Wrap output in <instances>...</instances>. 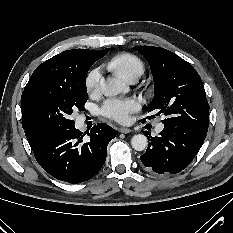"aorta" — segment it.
<instances>
[{"instance_id": "aorta-1", "label": "aorta", "mask_w": 233, "mask_h": 233, "mask_svg": "<svg viewBox=\"0 0 233 233\" xmlns=\"http://www.w3.org/2000/svg\"><path fill=\"white\" fill-rule=\"evenodd\" d=\"M101 91L105 96L111 97L121 93L125 89V84L118 78L109 77L100 81ZM131 145L136 151H143L147 145V137L143 134L134 135Z\"/></svg>"}]
</instances>
